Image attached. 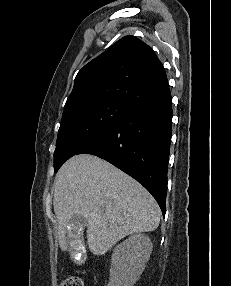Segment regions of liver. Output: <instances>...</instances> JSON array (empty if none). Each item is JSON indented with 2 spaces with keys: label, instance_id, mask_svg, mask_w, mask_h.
<instances>
[{
  "label": "liver",
  "instance_id": "obj_1",
  "mask_svg": "<svg viewBox=\"0 0 231 286\" xmlns=\"http://www.w3.org/2000/svg\"><path fill=\"white\" fill-rule=\"evenodd\" d=\"M54 212L61 250L74 216L87 220L90 251L103 255L127 235L157 229L161 211L150 193L109 162L89 154L70 158L54 181Z\"/></svg>",
  "mask_w": 231,
  "mask_h": 286
}]
</instances>
